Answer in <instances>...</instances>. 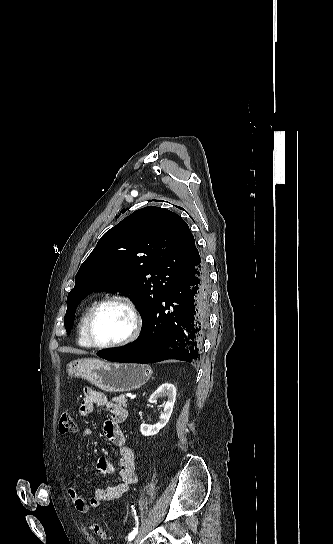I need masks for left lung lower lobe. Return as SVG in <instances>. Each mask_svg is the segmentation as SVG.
<instances>
[{"instance_id": "0a47b994", "label": "left lung lower lobe", "mask_w": 333, "mask_h": 544, "mask_svg": "<svg viewBox=\"0 0 333 544\" xmlns=\"http://www.w3.org/2000/svg\"><path fill=\"white\" fill-rule=\"evenodd\" d=\"M208 302L209 277L201 259L183 273L146 316L143 331L134 342L115 350H101L97 355L123 362L196 361L207 324Z\"/></svg>"}]
</instances>
